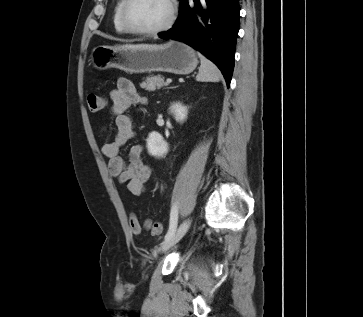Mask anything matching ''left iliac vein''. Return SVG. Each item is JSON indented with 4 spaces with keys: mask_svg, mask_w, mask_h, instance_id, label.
I'll use <instances>...</instances> for the list:
<instances>
[{
    "mask_svg": "<svg viewBox=\"0 0 363 317\" xmlns=\"http://www.w3.org/2000/svg\"><path fill=\"white\" fill-rule=\"evenodd\" d=\"M190 225H191V219H187L184 222H182L178 227L177 231L173 234V236L161 244L160 251L165 252L171 247H173L175 244H177L186 234Z\"/></svg>",
    "mask_w": 363,
    "mask_h": 317,
    "instance_id": "obj_1",
    "label": "left iliac vein"
}]
</instances>
